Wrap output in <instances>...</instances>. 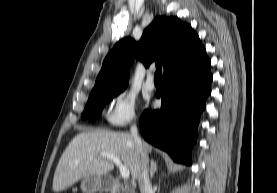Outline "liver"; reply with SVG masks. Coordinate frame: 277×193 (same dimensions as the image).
Returning a JSON list of instances; mask_svg holds the SVG:
<instances>
[{"instance_id": "liver-1", "label": "liver", "mask_w": 277, "mask_h": 193, "mask_svg": "<svg viewBox=\"0 0 277 193\" xmlns=\"http://www.w3.org/2000/svg\"><path fill=\"white\" fill-rule=\"evenodd\" d=\"M146 154L152 146L143 142ZM107 152L118 157L136 179L141 171V152L132 135L107 130L86 131L75 136L63 152L53 178V191L61 192L80 179L107 175L113 170L111 160L100 156Z\"/></svg>"}]
</instances>
